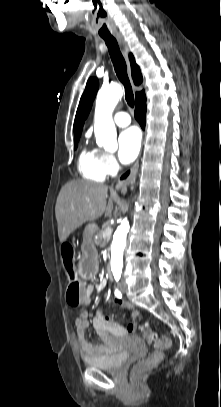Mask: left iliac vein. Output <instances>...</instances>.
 I'll return each instance as SVG.
<instances>
[{
  "label": "left iliac vein",
  "instance_id": "4c4485c4",
  "mask_svg": "<svg viewBox=\"0 0 221 407\" xmlns=\"http://www.w3.org/2000/svg\"><path fill=\"white\" fill-rule=\"evenodd\" d=\"M120 290H121L122 293L126 292V290H127L126 283L123 282V283L120 284Z\"/></svg>",
  "mask_w": 221,
  "mask_h": 407
}]
</instances>
